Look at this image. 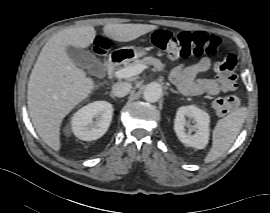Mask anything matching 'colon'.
Masks as SVG:
<instances>
[{"instance_id":"obj_1","label":"colon","mask_w":270,"mask_h":213,"mask_svg":"<svg viewBox=\"0 0 270 213\" xmlns=\"http://www.w3.org/2000/svg\"><path fill=\"white\" fill-rule=\"evenodd\" d=\"M152 44L176 58L220 57L222 48V40L219 36L202 31L172 33L157 30L152 36ZM105 49L106 43H103L99 50L103 52ZM235 68L236 58L232 54L222 56L214 66L228 92L225 96L214 100L213 107L217 114L228 113L240 103L239 90L235 83L237 79Z\"/></svg>"}]
</instances>
